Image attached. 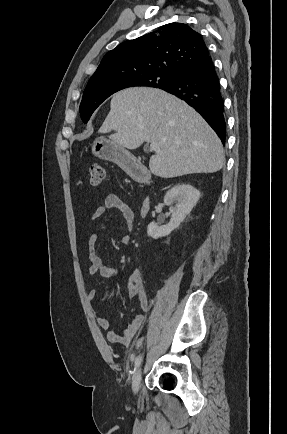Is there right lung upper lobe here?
Listing matches in <instances>:
<instances>
[{"instance_id":"cb5924a9","label":"right lung upper lobe","mask_w":287,"mask_h":434,"mask_svg":"<svg viewBox=\"0 0 287 434\" xmlns=\"http://www.w3.org/2000/svg\"><path fill=\"white\" fill-rule=\"evenodd\" d=\"M208 56V49L198 32L186 24L169 23L109 51L89 82L148 73L177 76Z\"/></svg>"}]
</instances>
